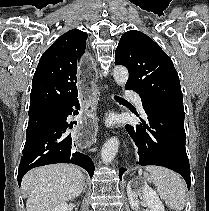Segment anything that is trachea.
Segmentation results:
<instances>
[{"mask_svg":"<svg viewBox=\"0 0 209 211\" xmlns=\"http://www.w3.org/2000/svg\"><path fill=\"white\" fill-rule=\"evenodd\" d=\"M115 99H116V100H119V101H125L123 98L118 97V96H116Z\"/></svg>","mask_w":209,"mask_h":211,"instance_id":"3493384b","label":"trachea"}]
</instances>
